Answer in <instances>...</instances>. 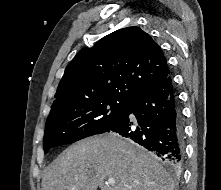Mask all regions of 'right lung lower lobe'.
<instances>
[{"label":"right lung lower lobe","instance_id":"obj_1","mask_svg":"<svg viewBox=\"0 0 221 190\" xmlns=\"http://www.w3.org/2000/svg\"><path fill=\"white\" fill-rule=\"evenodd\" d=\"M106 132L130 138L169 166L179 168L184 155V131L171 77L127 100L123 117Z\"/></svg>","mask_w":221,"mask_h":190}]
</instances>
